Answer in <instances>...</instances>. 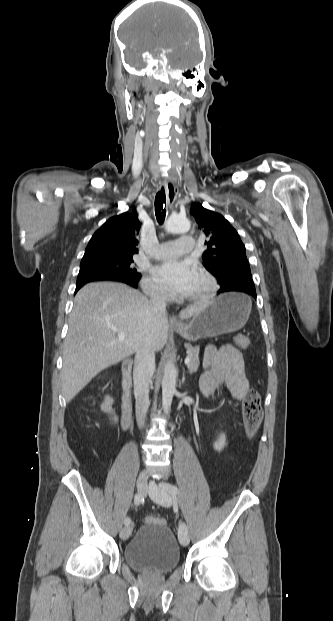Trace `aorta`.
Wrapping results in <instances>:
<instances>
[{"label":"aorta","instance_id":"aorta-1","mask_svg":"<svg viewBox=\"0 0 333 621\" xmlns=\"http://www.w3.org/2000/svg\"><path fill=\"white\" fill-rule=\"evenodd\" d=\"M190 229V222L187 218L179 215H171L165 223V230L169 233H185ZM177 370L173 360H169L164 370L162 380V408L168 413L171 408L173 395L175 393Z\"/></svg>","mask_w":333,"mask_h":621}]
</instances>
